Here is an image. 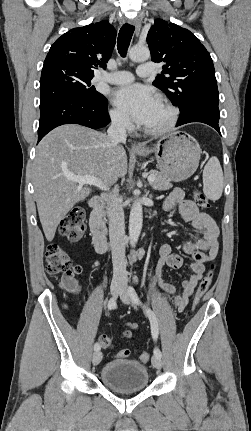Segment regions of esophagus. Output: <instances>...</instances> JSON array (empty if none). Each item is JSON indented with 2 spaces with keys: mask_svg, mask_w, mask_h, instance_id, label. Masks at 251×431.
I'll return each mask as SVG.
<instances>
[{
  "mask_svg": "<svg viewBox=\"0 0 251 431\" xmlns=\"http://www.w3.org/2000/svg\"><path fill=\"white\" fill-rule=\"evenodd\" d=\"M131 24L135 27V34L138 35L140 33V29H141V21L138 18H135L131 21ZM132 150L137 151V150H141L142 146L140 144H132L131 145Z\"/></svg>",
  "mask_w": 251,
  "mask_h": 431,
  "instance_id": "esophagus-1",
  "label": "esophagus"
}]
</instances>
